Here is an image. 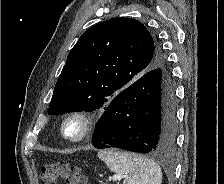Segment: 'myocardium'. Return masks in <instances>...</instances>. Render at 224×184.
Segmentation results:
<instances>
[{
	"label": "myocardium",
	"instance_id": "1",
	"mask_svg": "<svg viewBox=\"0 0 224 184\" xmlns=\"http://www.w3.org/2000/svg\"><path fill=\"white\" fill-rule=\"evenodd\" d=\"M75 121L79 124V133L75 136H69L66 133L67 125ZM95 125V118L93 114L85 110H75L68 113L60 126V133L64 140L69 143L75 144L84 141L91 134Z\"/></svg>",
	"mask_w": 224,
	"mask_h": 184
}]
</instances>
